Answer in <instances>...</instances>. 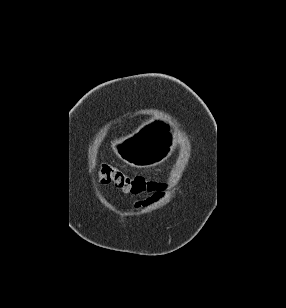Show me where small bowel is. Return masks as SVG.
<instances>
[{"instance_id":"1","label":"small bowel","mask_w":286,"mask_h":308,"mask_svg":"<svg viewBox=\"0 0 286 308\" xmlns=\"http://www.w3.org/2000/svg\"><path fill=\"white\" fill-rule=\"evenodd\" d=\"M153 200H147V201H138L135 203V206L136 207H140L141 205H144V204H148V203H151Z\"/></svg>"}]
</instances>
